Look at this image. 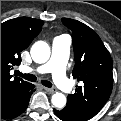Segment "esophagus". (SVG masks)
I'll list each match as a JSON object with an SVG mask.
<instances>
[{
    "instance_id": "obj_1",
    "label": "esophagus",
    "mask_w": 121,
    "mask_h": 121,
    "mask_svg": "<svg viewBox=\"0 0 121 121\" xmlns=\"http://www.w3.org/2000/svg\"><path fill=\"white\" fill-rule=\"evenodd\" d=\"M44 89H45L48 93H51V94L55 92L54 89H52V88L44 87Z\"/></svg>"
}]
</instances>
